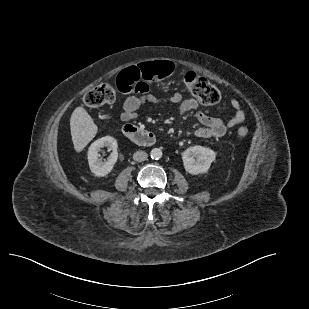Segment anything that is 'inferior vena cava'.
I'll list each match as a JSON object with an SVG mask.
<instances>
[{"instance_id":"1","label":"inferior vena cava","mask_w":309,"mask_h":309,"mask_svg":"<svg viewBox=\"0 0 309 309\" xmlns=\"http://www.w3.org/2000/svg\"><path fill=\"white\" fill-rule=\"evenodd\" d=\"M147 157H148V154L142 150H138L133 154V159L137 162L145 161Z\"/></svg>"}]
</instances>
